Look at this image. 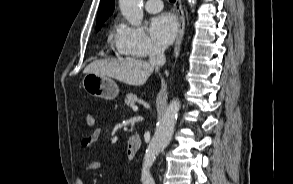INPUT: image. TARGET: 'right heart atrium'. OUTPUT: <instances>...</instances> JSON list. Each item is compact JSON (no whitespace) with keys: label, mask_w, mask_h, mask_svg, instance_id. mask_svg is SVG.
<instances>
[{"label":"right heart atrium","mask_w":293,"mask_h":184,"mask_svg":"<svg viewBox=\"0 0 293 184\" xmlns=\"http://www.w3.org/2000/svg\"><path fill=\"white\" fill-rule=\"evenodd\" d=\"M114 45L120 54L127 56L147 57L161 52V48L148 37L144 29L123 22L117 25Z\"/></svg>","instance_id":"obj_1"}]
</instances>
